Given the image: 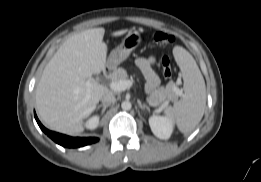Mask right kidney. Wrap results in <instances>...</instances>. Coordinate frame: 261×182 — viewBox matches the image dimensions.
Masks as SVG:
<instances>
[{"label": "right kidney", "instance_id": "1", "mask_svg": "<svg viewBox=\"0 0 261 182\" xmlns=\"http://www.w3.org/2000/svg\"><path fill=\"white\" fill-rule=\"evenodd\" d=\"M98 124H99V116H93L86 121L85 127L87 129L94 130L97 128Z\"/></svg>", "mask_w": 261, "mask_h": 182}]
</instances>
